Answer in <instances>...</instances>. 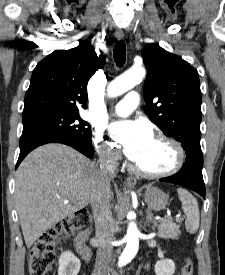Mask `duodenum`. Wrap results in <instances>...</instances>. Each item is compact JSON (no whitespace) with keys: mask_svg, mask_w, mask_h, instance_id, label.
Listing matches in <instances>:
<instances>
[{"mask_svg":"<svg viewBox=\"0 0 225 275\" xmlns=\"http://www.w3.org/2000/svg\"><path fill=\"white\" fill-rule=\"evenodd\" d=\"M89 236L90 231L86 229L81 231L75 239V248L77 253L87 261L91 258V250L87 243Z\"/></svg>","mask_w":225,"mask_h":275,"instance_id":"1","label":"duodenum"}]
</instances>
